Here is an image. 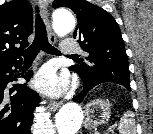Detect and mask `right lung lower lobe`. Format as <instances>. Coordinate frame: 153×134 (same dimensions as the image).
<instances>
[{
  "label": "right lung lower lobe",
  "mask_w": 153,
  "mask_h": 134,
  "mask_svg": "<svg viewBox=\"0 0 153 134\" xmlns=\"http://www.w3.org/2000/svg\"><path fill=\"white\" fill-rule=\"evenodd\" d=\"M21 63L13 62L0 67V134H30L33 111L40 102V96L25 84L15 85L9 94L5 92L7 83L15 80L16 70L12 67L21 68ZM31 75L28 72L24 78L30 80ZM15 90L17 92L12 94Z\"/></svg>",
  "instance_id": "right-lung-lower-lobe-1"
}]
</instances>
